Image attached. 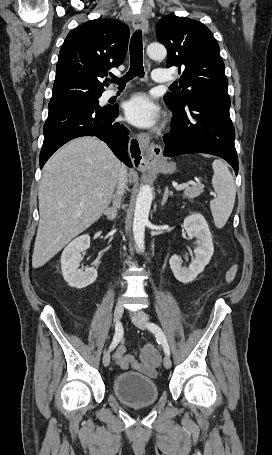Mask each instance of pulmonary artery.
<instances>
[{
  "mask_svg": "<svg viewBox=\"0 0 272 455\" xmlns=\"http://www.w3.org/2000/svg\"><path fill=\"white\" fill-rule=\"evenodd\" d=\"M152 78L154 82L156 83H168L170 81V76L166 70L163 69H156L152 73ZM118 93V90L116 89H111L107 90L104 93V98L109 99L113 96H115Z\"/></svg>",
  "mask_w": 272,
  "mask_h": 455,
  "instance_id": "e3ab8cb5",
  "label": "pulmonary artery"
}]
</instances>
